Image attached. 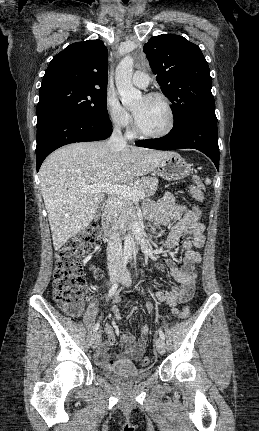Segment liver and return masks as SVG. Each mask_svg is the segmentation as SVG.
Returning <instances> with one entry per match:
<instances>
[{"instance_id":"liver-1","label":"liver","mask_w":259,"mask_h":431,"mask_svg":"<svg viewBox=\"0 0 259 431\" xmlns=\"http://www.w3.org/2000/svg\"><path fill=\"white\" fill-rule=\"evenodd\" d=\"M170 154L132 146L111 152L107 142H80L49 155L40 168V180L54 249L90 224L104 198V192L84 193V187L132 182L154 171Z\"/></svg>"}]
</instances>
